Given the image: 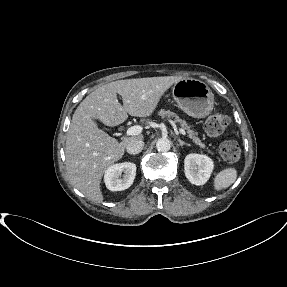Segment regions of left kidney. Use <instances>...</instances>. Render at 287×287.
I'll return each mask as SVG.
<instances>
[{
	"mask_svg": "<svg viewBox=\"0 0 287 287\" xmlns=\"http://www.w3.org/2000/svg\"><path fill=\"white\" fill-rule=\"evenodd\" d=\"M213 168L212 159L206 155L192 153L185 157V176L192 184H205L210 178Z\"/></svg>",
	"mask_w": 287,
	"mask_h": 287,
	"instance_id": "1",
	"label": "left kidney"
}]
</instances>
